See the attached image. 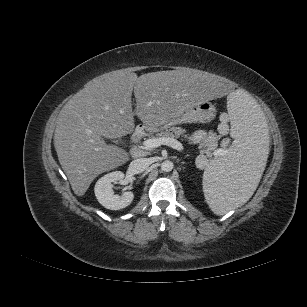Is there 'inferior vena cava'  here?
Wrapping results in <instances>:
<instances>
[{"label":"inferior vena cava","instance_id":"inferior-vena-cava-1","mask_svg":"<svg viewBox=\"0 0 307 307\" xmlns=\"http://www.w3.org/2000/svg\"><path fill=\"white\" fill-rule=\"evenodd\" d=\"M150 165L147 158H138L133 160L129 165V172L132 174H139L146 170Z\"/></svg>","mask_w":307,"mask_h":307}]
</instances>
